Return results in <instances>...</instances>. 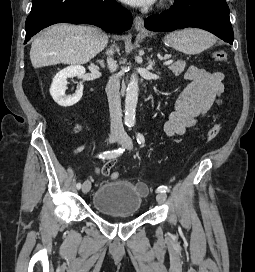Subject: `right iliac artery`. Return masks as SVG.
Instances as JSON below:
<instances>
[{
  "label": "right iliac artery",
  "mask_w": 255,
  "mask_h": 272,
  "mask_svg": "<svg viewBox=\"0 0 255 272\" xmlns=\"http://www.w3.org/2000/svg\"><path fill=\"white\" fill-rule=\"evenodd\" d=\"M124 151H125V148L120 147V148L112 150V151H106V152L100 153L98 155V157L101 159L116 158V157H119ZM76 187H77V189H80L81 183H77Z\"/></svg>",
  "instance_id": "82829eb1"
}]
</instances>
